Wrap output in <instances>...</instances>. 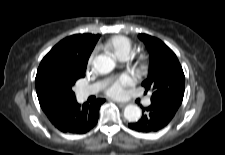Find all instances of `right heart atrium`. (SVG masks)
Returning a JSON list of instances; mask_svg holds the SVG:
<instances>
[{
    "instance_id": "1",
    "label": "right heart atrium",
    "mask_w": 225,
    "mask_h": 155,
    "mask_svg": "<svg viewBox=\"0 0 225 155\" xmlns=\"http://www.w3.org/2000/svg\"><path fill=\"white\" fill-rule=\"evenodd\" d=\"M92 58H90L89 62H91Z\"/></svg>"
}]
</instances>
